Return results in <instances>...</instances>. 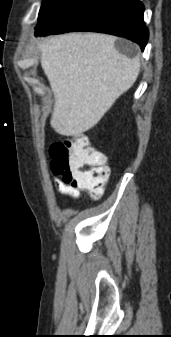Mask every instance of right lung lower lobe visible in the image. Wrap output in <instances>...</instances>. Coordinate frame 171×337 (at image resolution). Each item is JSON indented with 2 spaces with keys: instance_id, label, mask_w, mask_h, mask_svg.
I'll return each instance as SVG.
<instances>
[{
  "instance_id": "obj_1",
  "label": "right lung lower lobe",
  "mask_w": 171,
  "mask_h": 337,
  "mask_svg": "<svg viewBox=\"0 0 171 337\" xmlns=\"http://www.w3.org/2000/svg\"><path fill=\"white\" fill-rule=\"evenodd\" d=\"M139 0H71L47 23L36 28V36L71 31H94L122 36L144 50L149 32Z\"/></svg>"
}]
</instances>
